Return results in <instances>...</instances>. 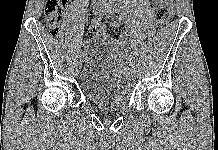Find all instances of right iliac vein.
I'll use <instances>...</instances> for the list:
<instances>
[{"mask_svg":"<svg viewBox=\"0 0 218 150\" xmlns=\"http://www.w3.org/2000/svg\"><path fill=\"white\" fill-rule=\"evenodd\" d=\"M97 11L100 12L101 9L97 7ZM81 56H82V55H80V59H79V61H78V65H79V66L81 65V62H82V61H81Z\"/></svg>","mask_w":218,"mask_h":150,"instance_id":"1","label":"right iliac vein"}]
</instances>
